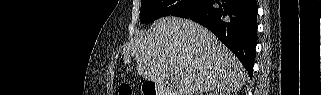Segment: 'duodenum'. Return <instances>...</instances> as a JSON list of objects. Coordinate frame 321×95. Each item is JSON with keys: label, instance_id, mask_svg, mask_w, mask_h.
Here are the masks:
<instances>
[{"label": "duodenum", "instance_id": "410a0bca", "mask_svg": "<svg viewBox=\"0 0 321 95\" xmlns=\"http://www.w3.org/2000/svg\"><path fill=\"white\" fill-rule=\"evenodd\" d=\"M154 95H171V93H164L160 89L156 88Z\"/></svg>", "mask_w": 321, "mask_h": 95}]
</instances>
